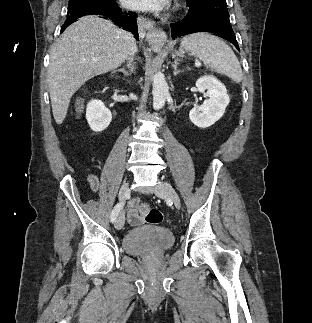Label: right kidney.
Listing matches in <instances>:
<instances>
[{"label": "right kidney", "instance_id": "ca27d5eb", "mask_svg": "<svg viewBox=\"0 0 312 323\" xmlns=\"http://www.w3.org/2000/svg\"><path fill=\"white\" fill-rule=\"evenodd\" d=\"M86 120L93 132H102L108 128L112 114L101 100H91L86 108Z\"/></svg>", "mask_w": 312, "mask_h": 323}]
</instances>
